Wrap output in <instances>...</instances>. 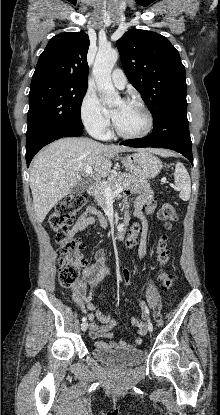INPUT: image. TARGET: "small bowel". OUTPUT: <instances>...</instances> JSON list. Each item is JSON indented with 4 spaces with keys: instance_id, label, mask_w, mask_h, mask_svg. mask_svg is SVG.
Here are the masks:
<instances>
[{
    "instance_id": "obj_1",
    "label": "small bowel",
    "mask_w": 220,
    "mask_h": 415,
    "mask_svg": "<svg viewBox=\"0 0 220 415\" xmlns=\"http://www.w3.org/2000/svg\"><path fill=\"white\" fill-rule=\"evenodd\" d=\"M138 193L137 197L131 201L130 196L132 192ZM133 207L132 213L139 219V222L134 223L128 231L126 237V245L131 248L138 244V254L144 258L147 255V219L144 213V209L147 206L153 208V193L145 183H142L139 187L126 192L124 200L125 218L129 214L130 207ZM99 220L102 226H106V220L99 214V211L89 206L87 209L77 218L74 225L69 229V233L76 235L90 225H93ZM108 273V268L105 266V252L102 249H97L94 253V259L89 262L82 272L81 279L71 289L72 299L80 306L83 312H89L88 319L90 321V336L92 338H107L114 337L113 329L116 325V321L104 313L102 310L96 308L94 304L95 289L101 279ZM125 271L122 274L121 282L123 281ZM129 276V273L127 271ZM99 323H95L94 320ZM132 325L138 327V337L135 338L132 344H129L123 340L118 342L112 341L105 343L103 341L95 342L96 346L108 347L115 350H128L134 349L141 345L142 337L147 334L146 324L140 322L136 318L131 319Z\"/></svg>"
}]
</instances>
